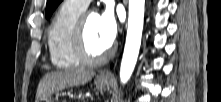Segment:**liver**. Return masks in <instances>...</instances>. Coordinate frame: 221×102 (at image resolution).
Wrapping results in <instances>:
<instances>
[{
	"instance_id": "1",
	"label": "liver",
	"mask_w": 221,
	"mask_h": 102,
	"mask_svg": "<svg viewBox=\"0 0 221 102\" xmlns=\"http://www.w3.org/2000/svg\"><path fill=\"white\" fill-rule=\"evenodd\" d=\"M94 76V71L82 69H67L48 73L38 85L36 101L47 100L53 93L62 91L65 88L86 84Z\"/></svg>"
}]
</instances>
